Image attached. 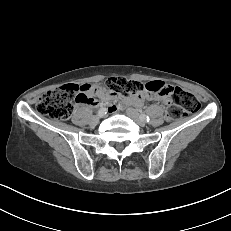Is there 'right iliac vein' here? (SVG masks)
<instances>
[{
	"label": "right iliac vein",
	"instance_id": "63e3f726",
	"mask_svg": "<svg viewBox=\"0 0 231 231\" xmlns=\"http://www.w3.org/2000/svg\"><path fill=\"white\" fill-rule=\"evenodd\" d=\"M104 115H105V113H103V114H98L97 116L93 117L91 123H92V124H97L98 121H99V119L102 118Z\"/></svg>",
	"mask_w": 231,
	"mask_h": 231
}]
</instances>
